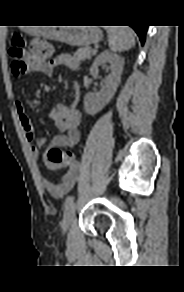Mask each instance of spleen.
Returning <instances> with one entry per match:
<instances>
[{"label": "spleen", "instance_id": "spleen-1", "mask_svg": "<svg viewBox=\"0 0 184 292\" xmlns=\"http://www.w3.org/2000/svg\"><path fill=\"white\" fill-rule=\"evenodd\" d=\"M109 48L115 53L127 51L135 46V34L132 29L124 26L107 27Z\"/></svg>", "mask_w": 184, "mask_h": 292}]
</instances>
